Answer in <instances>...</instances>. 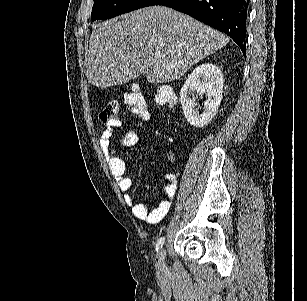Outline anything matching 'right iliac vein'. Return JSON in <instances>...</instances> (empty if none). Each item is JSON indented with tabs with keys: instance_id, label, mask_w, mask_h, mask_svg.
I'll return each mask as SVG.
<instances>
[{
	"instance_id": "1",
	"label": "right iliac vein",
	"mask_w": 307,
	"mask_h": 301,
	"mask_svg": "<svg viewBox=\"0 0 307 301\" xmlns=\"http://www.w3.org/2000/svg\"><path fill=\"white\" fill-rule=\"evenodd\" d=\"M165 256L166 251L164 248H162L158 254V261L156 263L157 268L160 270H163L165 268Z\"/></svg>"
}]
</instances>
